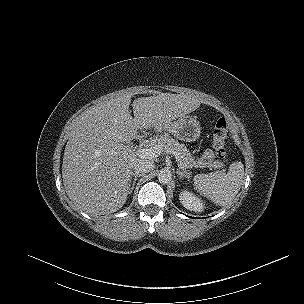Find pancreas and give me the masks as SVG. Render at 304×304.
Returning <instances> with one entry per match:
<instances>
[{
	"instance_id": "obj_1",
	"label": "pancreas",
	"mask_w": 304,
	"mask_h": 304,
	"mask_svg": "<svg viewBox=\"0 0 304 304\" xmlns=\"http://www.w3.org/2000/svg\"><path fill=\"white\" fill-rule=\"evenodd\" d=\"M152 145H160L163 151H168L173 154L178 163H181L186 168H222L224 164L219 161H208L203 162L200 159L195 160L192 154L189 152L187 147L183 143H179L168 134H162L158 137H155L151 141Z\"/></svg>"
}]
</instances>
